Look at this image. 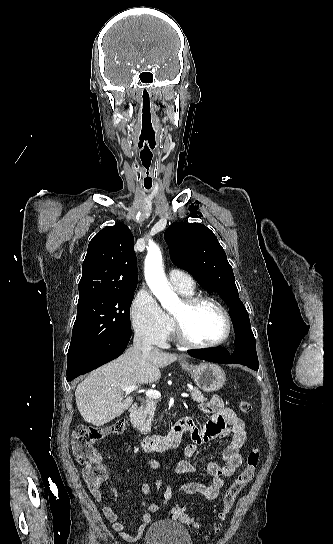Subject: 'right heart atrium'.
<instances>
[{
	"label": "right heart atrium",
	"instance_id": "d8ad5b80",
	"mask_svg": "<svg viewBox=\"0 0 333 544\" xmlns=\"http://www.w3.org/2000/svg\"><path fill=\"white\" fill-rule=\"evenodd\" d=\"M130 316L138 337L158 346L166 343L173 329L172 320L148 290L142 289L135 295Z\"/></svg>",
	"mask_w": 333,
	"mask_h": 544
}]
</instances>
